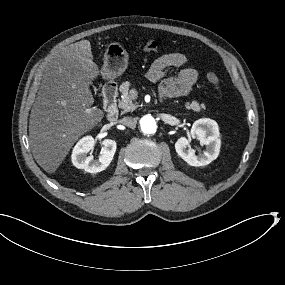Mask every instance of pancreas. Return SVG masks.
<instances>
[{
	"instance_id": "1",
	"label": "pancreas",
	"mask_w": 285,
	"mask_h": 285,
	"mask_svg": "<svg viewBox=\"0 0 285 285\" xmlns=\"http://www.w3.org/2000/svg\"><path fill=\"white\" fill-rule=\"evenodd\" d=\"M120 91L123 93H129L130 92V84L129 83H123L120 86ZM120 107L126 111H134L137 108V106L132 102V99L130 98V96L128 94H125V98L122 101H120ZM181 107H182V105H181ZM184 107L188 110H193L196 112H201V111L206 109L204 104H200L199 102H197L195 100L186 102L184 104Z\"/></svg>"
}]
</instances>
